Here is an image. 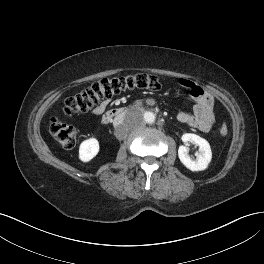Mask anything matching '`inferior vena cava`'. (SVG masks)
I'll use <instances>...</instances> for the list:
<instances>
[{
    "mask_svg": "<svg viewBox=\"0 0 264 264\" xmlns=\"http://www.w3.org/2000/svg\"><path fill=\"white\" fill-rule=\"evenodd\" d=\"M113 124L117 127V126H122L124 124V119L121 116H116L113 119Z\"/></svg>",
    "mask_w": 264,
    "mask_h": 264,
    "instance_id": "602c4592",
    "label": "inferior vena cava"
}]
</instances>
